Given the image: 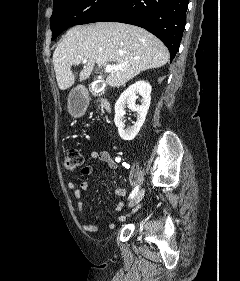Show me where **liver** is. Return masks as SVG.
Returning a JSON list of instances; mask_svg holds the SVG:
<instances>
[{
  "label": "liver",
  "mask_w": 240,
  "mask_h": 281,
  "mask_svg": "<svg viewBox=\"0 0 240 281\" xmlns=\"http://www.w3.org/2000/svg\"><path fill=\"white\" fill-rule=\"evenodd\" d=\"M84 63L79 81L90 77L95 64L113 63L122 70L109 72L106 83L120 87L142 71L164 66L169 51L153 34L143 28L114 22L75 26L67 31L53 53V65L60 90L75 82L72 66Z\"/></svg>",
  "instance_id": "1"
}]
</instances>
